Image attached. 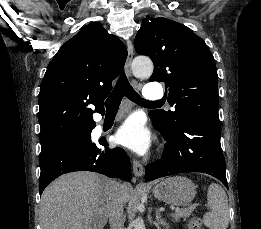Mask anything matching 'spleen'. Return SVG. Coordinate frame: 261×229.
Wrapping results in <instances>:
<instances>
[{"label":"spleen","mask_w":261,"mask_h":229,"mask_svg":"<svg viewBox=\"0 0 261 229\" xmlns=\"http://www.w3.org/2000/svg\"><path fill=\"white\" fill-rule=\"evenodd\" d=\"M211 213H206L203 223L208 229H228L229 209L227 195L220 185L212 183L207 193Z\"/></svg>","instance_id":"1"}]
</instances>
